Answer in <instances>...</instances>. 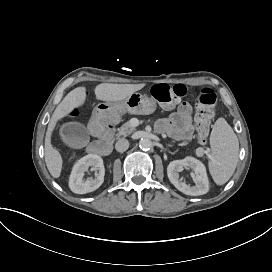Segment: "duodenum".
Returning <instances> with one entry per match:
<instances>
[{"instance_id": "410a0bca", "label": "duodenum", "mask_w": 272, "mask_h": 272, "mask_svg": "<svg viewBox=\"0 0 272 272\" xmlns=\"http://www.w3.org/2000/svg\"><path fill=\"white\" fill-rule=\"evenodd\" d=\"M114 127L106 118L103 107L97 108L90 123V131L97 138L88 146V152L92 155L106 156L110 153V142Z\"/></svg>"}]
</instances>
